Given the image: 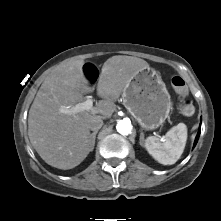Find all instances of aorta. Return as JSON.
I'll return each mask as SVG.
<instances>
[{"mask_svg": "<svg viewBox=\"0 0 221 221\" xmlns=\"http://www.w3.org/2000/svg\"><path fill=\"white\" fill-rule=\"evenodd\" d=\"M117 131L122 135H128L132 131V124L129 120L123 119L117 123Z\"/></svg>", "mask_w": 221, "mask_h": 221, "instance_id": "obj_1", "label": "aorta"}]
</instances>
